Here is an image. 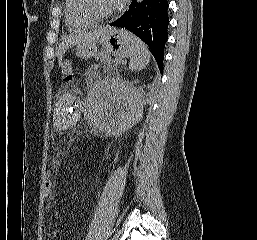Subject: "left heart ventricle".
Here are the masks:
<instances>
[{
  "instance_id": "left-heart-ventricle-1",
  "label": "left heart ventricle",
  "mask_w": 257,
  "mask_h": 240,
  "mask_svg": "<svg viewBox=\"0 0 257 240\" xmlns=\"http://www.w3.org/2000/svg\"><path fill=\"white\" fill-rule=\"evenodd\" d=\"M92 7L98 14H106L113 10L110 0H92Z\"/></svg>"
}]
</instances>
